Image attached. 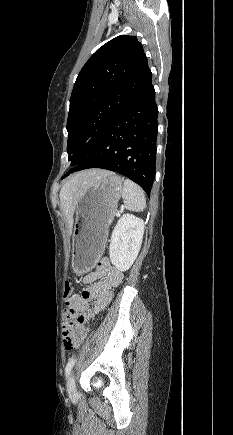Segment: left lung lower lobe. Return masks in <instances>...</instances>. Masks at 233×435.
I'll return each mask as SVG.
<instances>
[{
	"mask_svg": "<svg viewBox=\"0 0 233 435\" xmlns=\"http://www.w3.org/2000/svg\"><path fill=\"white\" fill-rule=\"evenodd\" d=\"M157 116L155 90L150 82L111 123L89 157L64 177L83 169L103 168L133 180L149 196L155 177Z\"/></svg>",
	"mask_w": 233,
	"mask_h": 435,
	"instance_id": "1",
	"label": "left lung lower lobe"
}]
</instances>
